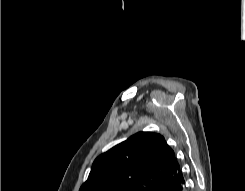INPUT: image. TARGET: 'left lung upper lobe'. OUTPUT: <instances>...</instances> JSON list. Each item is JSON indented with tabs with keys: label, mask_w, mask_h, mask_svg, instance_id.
Wrapping results in <instances>:
<instances>
[{
	"label": "left lung upper lobe",
	"mask_w": 245,
	"mask_h": 191,
	"mask_svg": "<svg viewBox=\"0 0 245 191\" xmlns=\"http://www.w3.org/2000/svg\"><path fill=\"white\" fill-rule=\"evenodd\" d=\"M177 164L162 135L141 131L99 155L79 191H156Z\"/></svg>",
	"instance_id": "left-lung-upper-lobe-1"
}]
</instances>
